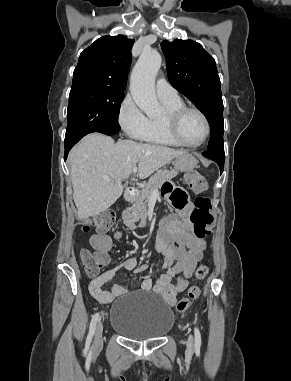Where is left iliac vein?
Returning <instances> with one entry per match:
<instances>
[{
    "label": "left iliac vein",
    "mask_w": 291,
    "mask_h": 381,
    "mask_svg": "<svg viewBox=\"0 0 291 381\" xmlns=\"http://www.w3.org/2000/svg\"><path fill=\"white\" fill-rule=\"evenodd\" d=\"M193 346H194L193 337L190 336L188 339V342H187V347H188V349L192 350Z\"/></svg>",
    "instance_id": "4c4485c4"
}]
</instances>
